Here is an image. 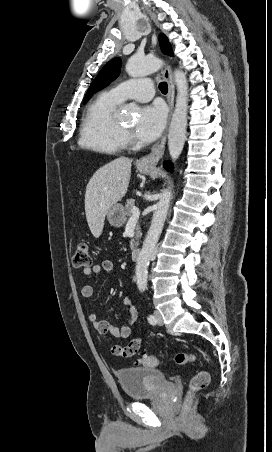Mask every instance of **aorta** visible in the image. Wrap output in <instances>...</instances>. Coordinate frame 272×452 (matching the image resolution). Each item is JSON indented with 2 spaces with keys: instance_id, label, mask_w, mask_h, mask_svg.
<instances>
[{
  "instance_id": "1",
  "label": "aorta",
  "mask_w": 272,
  "mask_h": 452,
  "mask_svg": "<svg viewBox=\"0 0 272 452\" xmlns=\"http://www.w3.org/2000/svg\"><path fill=\"white\" fill-rule=\"evenodd\" d=\"M162 65L163 61L155 57L140 58L132 56L127 61L126 71L131 77H141L156 72ZM174 78L177 86V98L168 133V149L173 161L180 156L186 139L188 100V83L185 73L176 69ZM170 200L171 192L166 189L155 205L151 226L137 258L135 275L140 292L145 291L147 288L149 262L161 235Z\"/></svg>"
}]
</instances>
